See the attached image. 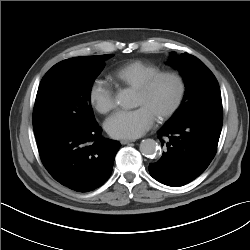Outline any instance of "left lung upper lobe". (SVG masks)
<instances>
[{
  "label": "left lung upper lobe",
  "instance_id": "left-lung-upper-lobe-1",
  "mask_svg": "<svg viewBox=\"0 0 250 250\" xmlns=\"http://www.w3.org/2000/svg\"><path fill=\"white\" fill-rule=\"evenodd\" d=\"M183 76L186 92L179 109L166 124H176L214 108H222L218 82L208 67L198 58L184 53H172L168 62Z\"/></svg>",
  "mask_w": 250,
  "mask_h": 250
}]
</instances>
